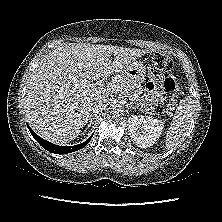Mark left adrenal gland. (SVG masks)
Returning a JSON list of instances; mask_svg holds the SVG:
<instances>
[{
    "label": "left adrenal gland",
    "instance_id": "left-adrenal-gland-1",
    "mask_svg": "<svg viewBox=\"0 0 222 222\" xmlns=\"http://www.w3.org/2000/svg\"><path fill=\"white\" fill-rule=\"evenodd\" d=\"M127 107H129L130 109H136V108L133 107L131 104H127Z\"/></svg>",
    "mask_w": 222,
    "mask_h": 222
}]
</instances>
